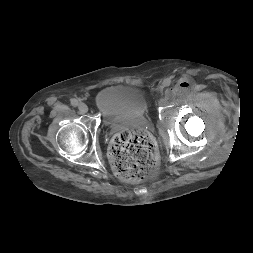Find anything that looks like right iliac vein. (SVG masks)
I'll return each mask as SVG.
<instances>
[{
	"mask_svg": "<svg viewBox=\"0 0 253 253\" xmlns=\"http://www.w3.org/2000/svg\"><path fill=\"white\" fill-rule=\"evenodd\" d=\"M78 109H79L80 113L84 114L88 111V106L85 103H80L78 105Z\"/></svg>",
	"mask_w": 253,
	"mask_h": 253,
	"instance_id": "63e3f726",
	"label": "right iliac vein"
}]
</instances>
